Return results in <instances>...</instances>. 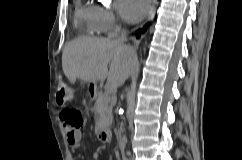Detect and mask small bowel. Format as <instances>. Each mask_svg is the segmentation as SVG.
I'll return each instance as SVG.
<instances>
[{
    "instance_id": "obj_1",
    "label": "small bowel",
    "mask_w": 242,
    "mask_h": 160,
    "mask_svg": "<svg viewBox=\"0 0 242 160\" xmlns=\"http://www.w3.org/2000/svg\"><path fill=\"white\" fill-rule=\"evenodd\" d=\"M61 119L64 123V131L66 134V139L67 142L71 145L74 146L78 144L81 140V132L79 129L73 128L61 115Z\"/></svg>"
}]
</instances>
